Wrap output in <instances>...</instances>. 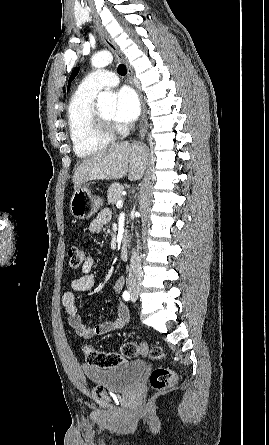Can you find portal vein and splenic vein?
I'll list each match as a JSON object with an SVG mask.
<instances>
[{
    "label": "portal vein and splenic vein",
    "instance_id": "1",
    "mask_svg": "<svg viewBox=\"0 0 269 445\" xmlns=\"http://www.w3.org/2000/svg\"><path fill=\"white\" fill-rule=\"evenodd\" d=\"M117 208H122L123 207V202L121 200H119L116 204Z\"/></svg>",
    "mask_w": 269,
    "mask_h": 445
}]
</instances>
